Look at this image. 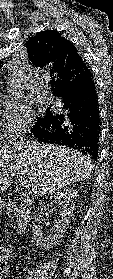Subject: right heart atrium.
<instances>
[{"mask_svg": "<svg viewBox=\"0 0 113 279\" xmlns=\"http://www.w3.org/2000/svg\"><path fill=\"white\" fill-rule=\"evenodd\" d=\"M0 113V125L4 134L10 138L23 136L31 127L32 109L16 98L3 97L0 100Z\"/></svg>", "mask_w": 113, "mask_h": 279, "instance_id": "1", "label": "right heart atrium"}]
</instances>
